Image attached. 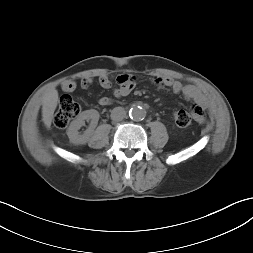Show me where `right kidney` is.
I'll use <instances>...</instances> for the list:
<instances>
[{
  "mask_svg": "<svg viewBox=\"0 0 253 253\" xmlns=\"http://www.w3.org/2000/svg\"><path fill=\"white\" fill-rule=\"evenodd\" d=\"M85 120H90V127L84 131L83 134H79L78 130L85 124ZM99 120V113L94 109L83 111L79 117L70 123L67 130L70 143L75 145L86 144L94 128L97 126Z\"/></svg>",
  "mask_w": 253,
  "mask_h": 253,
  "instance_id": "right-kidney-1",
  "label": "right kidney"
}]
</instances>
